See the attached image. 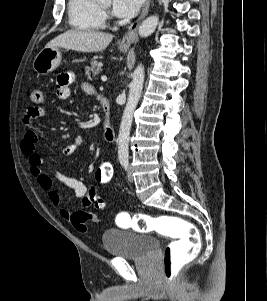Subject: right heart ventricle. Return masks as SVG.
<instances>
[{"instance_id": "e07e8e85", "label": "right heart ventricle", "mask_w": 267, "mask_h": 301, "mask_svg": "<svg viewBox=\"0 0 267 301\" xmlns=\"http://www.w3.org/2000/svg\"><path fill=\"white\" fill-rule=\"evenodd\" d=\"M68 17L71 26L77 30L96 31L104 27L98 0H69Z\"/></svg>"}]
</instances>
